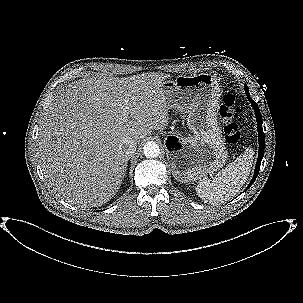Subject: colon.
Wrapping results in <instances>:
<instances>
[{"label": "colon", "mask_w": 303, "mask_h": 303, "mask_svg": "<svg viewBox=\"0 0 303 303\" xmlns=\"http://www.w3.org/2000/svg\"><path fill=\"white\" fill-rule=\"evenodd\" d=\"M244 108V103L239 102L237 97L228 93L223 97L220 107L223 133L225 140L230 144H235L240 139L239 116Z\"/></svg>", "instance_id": "colon-1"}]
</instances>
